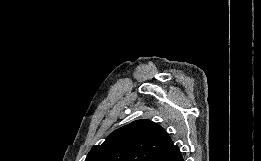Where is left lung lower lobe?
<instances>
[{"label": "left lung lower lobe", "instance_id": "left-lung-lower-lobe-1", "mask_svg": "<svg viewBox=\"0 0 261 161\" xmlns=\"http://www.w3.org/2000/svg\"><path fill=\"white\" fill-rule=\"evenodd\" d=\"M152 161H184L177 145L173 143L162 149Z\"/></svg>", "mask_w": 261, "mask_h": 161}]
</instances>
